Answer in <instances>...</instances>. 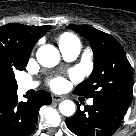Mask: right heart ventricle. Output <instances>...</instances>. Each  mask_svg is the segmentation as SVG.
<instances>
[{"mask_svg":"<svg viewBox=\"0 0 136 136\" xmlns=\"http://www.w3.org/2000/svg\"><path fill=\"white\" fill-rule=\"evenodd\" d=\"M59 46L80 45L78 38L71 33H64L59 37Z\"/></svg>","mask_w":136,"mask_h":136,"instance_id":"e07e8e85","label":"right heart ventricle"}]
</instances>
